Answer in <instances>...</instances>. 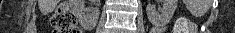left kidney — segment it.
<instances>
[{
	"instance_id": "left-kidney-1",
	"label": "left kidney",
	"mask_w": 235,
	"mask_h": 33,
	"mask_svg": "<svg viewBox=\"0 0 235 33\" xmlns=\"http://www.w3.org/2000/svg\"><path fill=\"white\" fill-rule=\"evenodd\" d=\"M163 7L160 11H156V7L153 4H148L146 7V13L150 22L154 25L167 24L177 8L178 0H162Z\"/></svg>"
}]
</instances>
